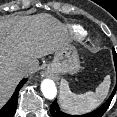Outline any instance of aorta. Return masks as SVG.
Returning <instances> with one entry per match:
<instances>
[{"mask_svg": "<svg viewBox=\"0 0 117 117\" xmlns=\"http://www.w3.org/2000/svg\"><path fill=\"white\" fill-rule=\"evenodd\" d=\"M41 91L45 98L52 100L56 97L57 88L53 80L44 79L41 82Z\"/></svg>", "mask_w": 117, "mask_h": 117, "instance_id": "obj_1", "label": "aorta"}]
</instances>
